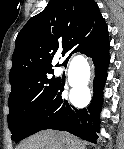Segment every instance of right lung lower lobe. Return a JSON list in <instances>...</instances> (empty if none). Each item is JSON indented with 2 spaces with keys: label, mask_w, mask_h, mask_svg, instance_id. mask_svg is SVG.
Returning <instances> with one entry per match:
<instances>
[{
  "label": "right lung lower lobe",
  "mask_w": 124,
  "mask_h": 149,
  "mask_svg": "<svg viewBox=\"0 0 124 149\" xmlns=\"http://www.w3.org/2000/svg\"><path fill=\"white\" fill-rule=\"evenodd\" d=\"M109 48L110 42L107 38L98 47L84 53L92 58L95 67L94 95L91 104L84 109L73 107L63 95L64 85L59 83L55 91L28 122L21 140L44 129H55L96 143L100 128V111L106 69L110 60Z\"/></svg>",
  "instance_id": "1"
}]
</instances>
